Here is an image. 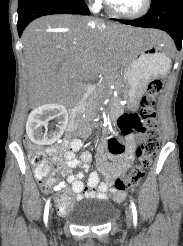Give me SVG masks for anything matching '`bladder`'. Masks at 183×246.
<instances>
[{
    "label": "bladder",
    "instance_id": "1",
    "mask_svg": "<svg viewBox=\"0 0 183 246\" xmlns=\"http://www.w3.org/2000/svg\"><path fill=\"white\" fill-rule=\"evenodd\" d=\"M116 214V208L107 199H96L71 215V220L79 226H101L110 221Z\"/></svg>",
    "mask_w": 183,
    "mask_h": 246
}]
</instances>
